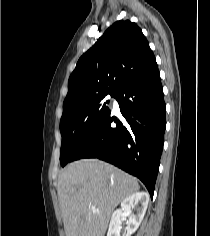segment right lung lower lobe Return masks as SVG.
<instances>
[{
    "instance_id": "98d812e1",
    "label": "right lung lower lobe",
    "mask_w": 210,
    "mask_h": 236,
    "mask_svg": "<svg viewBox=\"0 0 210 236\" xmlns=\"http://www.w3.org/2000/svg\"><path fill=\"white\" fill-rule=\"evenodd\" d=\"M123 116L110 111L71 161L98 158L138 177L153 197L163 150L166 105L157 65L123 84L115 93ZM115 127H111L112 122Z\"/></svg>"
}]
</instances>
